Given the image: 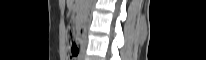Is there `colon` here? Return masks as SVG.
I'll return each instance as SVG.
<instances>
[{"label": "colon", "mask_w": 206, "mask_h": 60, "mask_svg": "<svg viewBox=\"0 0 206 60\" xmlns=\"http://www.w3.org/2000/svg\"><path fill=\"white\" fill-rule=\"evenodd\" d=\"M66 38L69 44L68 58L74 59L80 50V42L77 40L75 31L72 27L67 28Z\"/></svg>", "instance_id": "colon-1"}]
</instances>
